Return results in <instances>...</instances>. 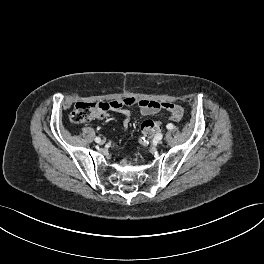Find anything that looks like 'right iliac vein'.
Masks as SVG:
<instances>
[{"label":"right iliac vein","instance_id":"1","mask_svg":"<svg viewBox=\"0 0 264 264\" xmlns=\"http://www.w3.org/2000/svg\"><path fill=\"white\" fill-rule=\"evenodd\" d=\"M106 142H107L106 139H101V141L99 142V144H100V145H102V144H106Z\"/></svg>","mask_w":264,"mask_h":264}]
</instances>
